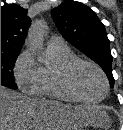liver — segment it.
<instances>
[{
    "label": "liver",
    "instance_id": "obj_1",
    "mask_svg": "<svg viewBox=\"0 0 123 130\" xmlns=\"http://www.w3.org/2000/svg\"><path fill=\"white\" fill-rule=\"evenodd\" d=\"M99 108L30 98L1 86V130H71L100 126Z\"/></svg>",
    "mask_w": 123,
    "mask_h": 130
}]
</instances>
